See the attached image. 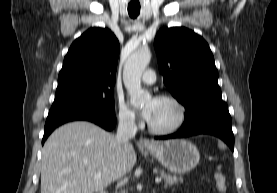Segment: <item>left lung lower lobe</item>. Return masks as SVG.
<instances>
[{
  "instance_id": "1",
  "label": "left lung lower lobe",
  "mask_w": 277,
  "mask_h": 193,
  "mask_svg": "<svg viewBox=\"0 0 277 193\" xmlns=\"http://www.w3.org/2000/svg\"><path fill=\"white\" fill-rule=\"evenodd\" d=\"M197 134L217 136L226 142L232 151L234 150L231 116L224 101L202 104L193 113L185 117V122L178 132L155 138L166 140Z\"/></svg>"
}]
</instances>
